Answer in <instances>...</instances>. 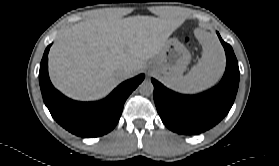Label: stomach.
Wrapping results in <instances>:
<instances>
[{"label":"stomach","mask_w":279,"mask_h":166,"mask_svg":"<svg viewBox=\"0 0 279 166\" xmlns=\"http://www.w3.org/2000/svg\"><path fill=\"white\" fill-rule=\"evenodd\" d=\"M191 59L186 47L176 38L166 41L161 51L150 61L154 72L161 74L166 83L182 76Z\"/></svg>","instance_id":"1"}]
</instances>
